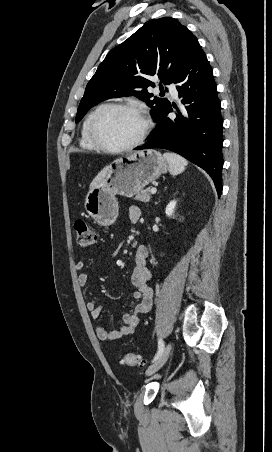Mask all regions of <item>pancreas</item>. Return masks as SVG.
<instances>
[{
  "instance_id": "1",
  "label": "pancreas",
  "mask_w": 272,
  "mask_h": 452,
  "mask_svg": "<svg viewBox=\"0 0 272 452\" xmlns=\"http://www.w3.org/2000/svg\"><path fill=\"white\" fill-rule=\"evenodd\" d=\"M150 193H151V189H150V188H147V189L142 190L141 192H139V193L135 196L134 199L137 200V201H141V202L147 203V202H149L150 199H151Z\"/></svg>"
}]
</instances>
